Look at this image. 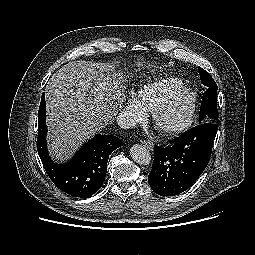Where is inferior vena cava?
Instances as JSON below:
<instances>
[{
  "mask_svg": "<svg viewBox=\"0 0 255 255\" xmlns=\"http://www.w3.org/2000/svg\"><path fill=\"white\" fill-rule=\"evenodd\" d=\"M118 125L123 129L132 128L136 125L135 120L127 111H122L117 116Z\"/></svg>",
  "mask_w": 255,
  "mask_h": 255,
  "instance_id": "1",
  "label": "inferior vena cava"
}]
</instances>
